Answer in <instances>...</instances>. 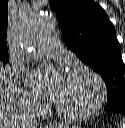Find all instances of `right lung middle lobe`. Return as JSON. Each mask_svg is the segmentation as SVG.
<instances>
[{
    "label": "right lung middle lobe",
    "mask_w": 125,
    "mask_h": 128,
    "mask_svg": "<svg viewBox=\"0 0 125 128\" xmlns=\"http://www.w3.org/2000/svg\"><path fill=\"white\" fill-rule=\"evenodd\" d=\"M9 59H0V64L2 66V63H7ZM3 67L5 68V65L3 64Z\"/></svg>",
    "instance_id": "dd1d6c3e"
}]
</instances>
